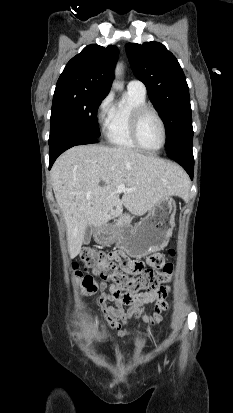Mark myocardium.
I'll return each mask as SVG.
<instances>
[{
    "instance_id": "f54148a6",
    "label": "myocardium",
    "mask_w": 233,
    "mask_h": 413,
    "mask_svg": "<svg viewBox=\"0 0 233 413\" xmlns=\"http://www.w3.org/2000/svg\"><path fill=\"white\" fill-rule=\"evenodd\" d=\"M147 113H152L154 114V116L158 119L160 125H161V130H162V141L161 144L154 149H150L145 147L140 140L139 137V127H140V123L142 118L144 117L145 114ZM130 135L131 138L133 140V142L135 143V145L142 151L148 152V153H157L159 151H161L166 142H167V129H166V124L162 118V116L160 115V113L152 106L148 105V104H144L141 106H138L137 108H135L132 112L131 115V120H130Z\"/></svg>"
}]
</instances>
